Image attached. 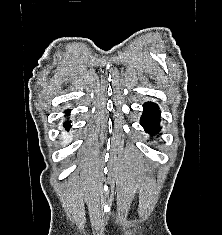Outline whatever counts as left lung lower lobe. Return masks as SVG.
<instances>
[{"label":"left lung lower lobe","instance_id":"1","mask_svg":"<svg viewBox=\"0 0 222 235\" xmlns=\"http://www.w3.org/2000/svg\"><path fill=\"white\" fill-rule=\"evenodd\" d=\"M144 112L141 117V125L147 133H152V135L160 131V112L157 104L152 102H147L143 105Z\"/></svg>","mask_w":222,"mask_h":235}]
</instances>
